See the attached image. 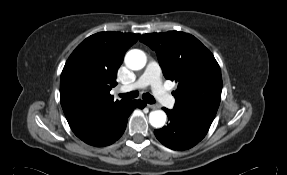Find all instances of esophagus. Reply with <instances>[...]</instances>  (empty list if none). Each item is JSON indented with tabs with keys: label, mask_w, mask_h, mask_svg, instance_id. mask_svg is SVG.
<instances>
[{
	"label": "esophagus",
	"mask_w": 287,
	"mask_h": 175,
	"mask_svg": "<svg viewBox=\"0 0 287 175\" xmlns=\"http://www.w3.org/2000/svg\"><path fill=\"white\" fill-rule=\"evenodd\" d=\"M147 107H149L151 109H158L159 105H157V104H147Z\"/></svg>",
	"instance_id": "esophagus-1"
}]
</instances>
